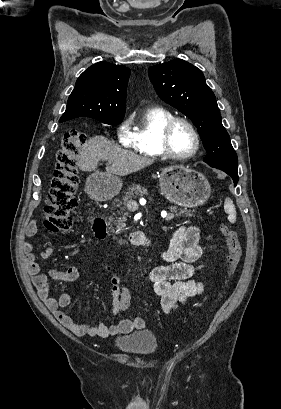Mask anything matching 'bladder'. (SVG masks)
I'll list each match as a JSON object with an SVG mask.
<instances>
[{
	"label": "bladder",
	"mask_w": 281,
	"mask_h": 409,
	"mask_svg": "<svg viewBox=\"0 0 281 409\" xmlns=\"http://www.w3.org/2000/svg\"><path fill=\"white\" fill-rule=\"evenodd\" d=\"M114 348L125 355L147 358L159 351V342L155 333L149 328L133 330L129 335H117Z\"/></svg>",
	"instance_id": "31cf9c89"
}]
</instances>
